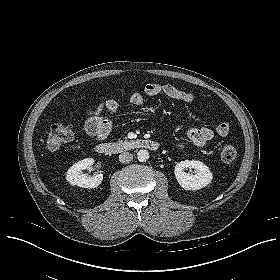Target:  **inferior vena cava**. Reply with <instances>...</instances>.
Segmentation results:
<instances>
[{
    "mask_svg": "<svg viewBox=\"0 0 280 280\" xmlns=\"http://www.w3.org/2000/svg\"><path fill=\"white\" fill-rule=\"evenodd\" d=\"M133 160V154L130 152H123L119 155V161L121 163H129Z\"/></svg>",
    "mask_w": 280,
    "mask_h": 280,
    "instance_id": "1",
    "label": "inferior vena cava"
}]
</instances>
